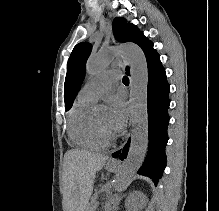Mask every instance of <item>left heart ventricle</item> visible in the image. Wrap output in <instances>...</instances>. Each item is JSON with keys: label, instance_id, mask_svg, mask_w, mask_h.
Instances as JSON below:
<instances>
[{"label": "left heart ventricle", "instance_id": "1", "mask_svg": "<svg viewBox=\"0 0 219 211\" xmlns=\"http://www.w3.org/2000/svg\"><path fill=\"white\" fill-rule=\"evenodd\" d=\"M96 119L105 127L110 128L109 123H108V117L106 112H102L97 115Z\"/></svg>", "mask_w": 219, "mask_h": 211}]
</instances>
